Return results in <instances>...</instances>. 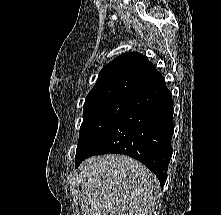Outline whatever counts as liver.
I'll use <instances>...</instances> for the list:
<instances>
[{
  "label": "liver",
  "mask_w": 221,
  "mask_h": 215,
  "mask_svg": "<svg viewBox=\"0 0 221 215\" xmlns=\"http://www.w3.org/2000/svg\"><path fill=\"white\" fill-rule=\"evenodd\" d=\"M84 215H152L160 185L141 162L125 155H101L80 168Z\"/></svg>",
  "instance_id": "6515ba94"
}]
</instances>
